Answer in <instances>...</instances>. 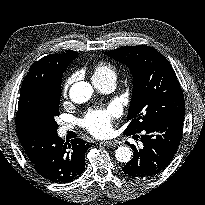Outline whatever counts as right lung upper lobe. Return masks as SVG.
Masks as SVG:
<instances>
[{
  "instance_id": "obj_1",
  "label": "right lung upper lobe",
  "mask_w": 205,
  "mask_h": 205,
  "mask_svg": "<svg viewBox=\"0 0 205 205\" xmlns=\"http://www.w3.org/2000/svg\"><path fill=\"white\" fill-rule=\"evenodd\" d=\"M78 55L74 51H67L63 54H50L35 61L22 83L21 90L33 84H49L60 75L69 63ZM20 90V91H21ZM17 136L22 137L32 133L16 123Z\"/></svg>"
}]
</instances>
